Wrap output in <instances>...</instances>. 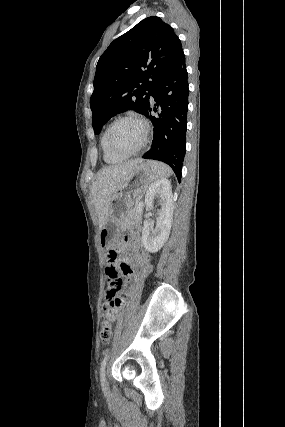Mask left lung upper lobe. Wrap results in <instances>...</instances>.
Instances as JSON below:
<instances>
[{
	"label": "left lung upper lobe",
	"mask_w": 285,
	"mask_h": 427,
	"mask_svg": "<svg viewBox=\"0 0 285 427\" xmlns=\"http://www.w3.org/2000/svg\"><path fill=\"white\" fill-rule=\"evenodd\" d=\"M181 51L173 28L156 16L115 39L96 67L90 98L94 132L127 109L144 114L155 86Z\"/></svg>",
	"instance_id": "1"
}]
</instances>
